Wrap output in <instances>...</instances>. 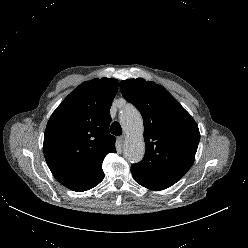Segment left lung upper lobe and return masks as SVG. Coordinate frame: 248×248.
Masks as SVG:
<instances>
[{
    "label": "left lung upper lobe",
    "instance_id": "left-lung-upper-lobe-1",
    "mask_svg": "<svg viewBox=\"0 0 248 248\" xmlns=\"http://www.w3.org/2000/svg\"><path fill=\"white\" fill-rule=\"evenodd\" d=\"M125 99L141 112L146 152L131 166L133 178L150 190L179 181L194 162L200 140L198 125L162 86L142 78L120 82Z\"/></svg>",
    "mask_w": 248,
    "mask_h": 248
}]
</instances>
